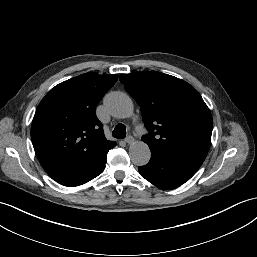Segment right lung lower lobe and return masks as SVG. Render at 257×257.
Listing matches in <instances>:
<instances>
[{
    "label": "right lung lower lobe",
    "mask_w": 257,
    "mask_h": 257,
    "mask_svg": "<svg viewBox=\"0 0 257 257\" xmlns=\"http://www.w3.org/2000/svg\"><path fill=\"white\" fill-rule=\"evenodd\" d=\"M106 162H107V156H105V158L101 162H99L97 166H95V167L91 168L90 170L86 171L80 177L72 178V179H63V180H60V181H57V182L62 184V185L71 186V187L82 185V184L94 179L99 174H101L105 169V163Z\"/></svg>",
    "instance_id": "98d812e1"
}]
</instances>
